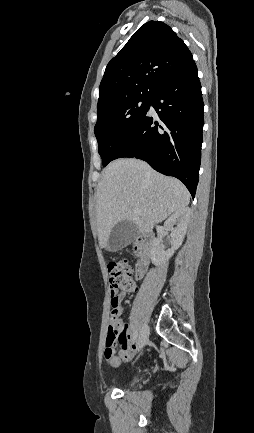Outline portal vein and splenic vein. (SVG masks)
Listing matches in <instances>:
<instances>
[{
    "label": "portal vein and splenic vein",
    "mask_w": 254,
    "mask_h": 433,
    "mask_svg": "<svg viewBox=\"0 0 254 433\" xmlns=\"http://www.w3.org/2000/svg\"><path fill=\"white\" fill-rule=\"evenodd\" d=\"M134 212L140 214V213H141V210H140L139 208H135V209H134Z\"/></svg>",
    "instance_id": "18ae733b"
}]
</instances>
